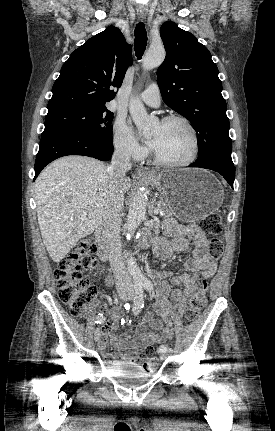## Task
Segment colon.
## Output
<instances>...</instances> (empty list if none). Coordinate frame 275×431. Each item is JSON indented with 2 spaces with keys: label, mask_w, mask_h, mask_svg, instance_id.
Instances as JSON below:
<instances>
[{
  "label": "colon",
  "mask_w": 275,
  "mask_h": 431,
  "mask_svg": "<svg viewBox=\"0 0 275 431\" xmlns=\"http://www.w3.org/2000/svg\"><path fill=\"white\" fill-rule=\"evenodd\" d=\"M200 229L203 233L211 235L208 244V253L214 259L223 253V241L219 237L222 232V223L217 214H209L200 221ZM96 248L90 238L80 240L68 255L58 264L54 270V278L59 299L65 303L72 315L86 317L91 301L97 293L96 287L83 277L84 270L98 269L95 257ZM208 284L201 279L197 284V291L191 296L185 317L192 322L198 318L206 304ZM157 359L153 356V348L144 350V366L155 367Z\"/></svg>",
  "instance_id": "obj_1"
}]
</instances>
